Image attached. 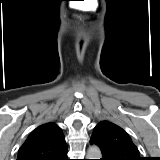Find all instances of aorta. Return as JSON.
Wrapping results in <instances>:
<instances>
[{
  "mask_svg": "<svg viewBox=\"0 0 160 160\" xmlns=\"http://www.w3.org/2000/svg\"><path fill=\"white\" fill-rule=\"evenodd\" d=\"M87 159H101L102 153L99 147L97 146H90L87 150Z\"/></svg>",
  "mask_w": 160,
  "mask_h": 160,
  "instance_id": "obj_1",
  "label": "aorta"
}]
</instances>
